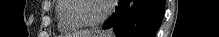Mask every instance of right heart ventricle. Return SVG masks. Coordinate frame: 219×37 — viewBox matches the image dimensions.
Returning a JSON list of instances; mask_svg holds the SVG:
<instances>
[{"label":"right heart ventricle","instance_id":"obj_1","mask_svg":"<svg viewBox=\"0 0 219 37\" xmlns=\"http://www.w3.org/2000/svg\"><path fill=\"white\" fill-rule=\"evenodd\" d=\"M75 0H58L55 4L57 24L61 32H73L84 26L73 16Z\"/></svg>","mask_w":219,"mask_h":37}]
</instances>
